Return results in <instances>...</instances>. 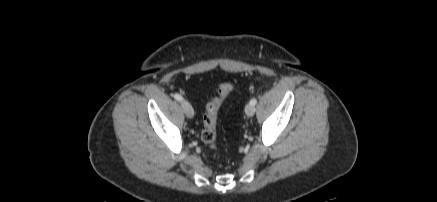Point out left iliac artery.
Here are the masks:
<instances>
[{"label":"left iliac artery","instance_id":"obj_1","mask_svg":"<svg viewBox=\"0 0 437 202\" xmlns=\"http://www.w3.org/2000/svg\"><path fill=\"white\" fill-rule=\"evenodd\" d=\"M256 103H257V99H256V98H252V99L250 100V104H251V105H256Z\"/></svg>","mask_w":437,"mask_h":202}]
</instances>
